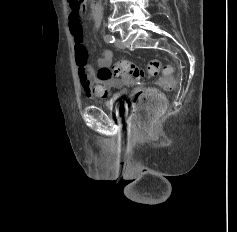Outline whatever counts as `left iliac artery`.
<instances>
[{
	"label": "left iliac artery",
	"mask_w": 237,
	"mask_h": 232,
	"mask_svg": "<svg viewBox=\"0 0 237 232\" xmlns=\"http://www.w3.org/2000/svg\"><path fill=\"white\" fill-rule=\"evenodd\" d=\"M104 40L107 43H113L115 41V38L113 35L107 34L105 35Z\"/></svg>",
	"instance_id": "left-iliac-artery-1"
}]
</instances>
